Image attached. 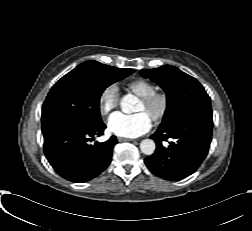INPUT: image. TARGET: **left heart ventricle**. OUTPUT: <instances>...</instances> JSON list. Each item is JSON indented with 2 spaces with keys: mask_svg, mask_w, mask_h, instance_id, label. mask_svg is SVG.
<instances>
[{
  "mask_svg": "<svg viewBox=\"0 0 252 231\" xmlns=\"http://www.w3.org/2000/svg\"><path fill=\"white\" fill-rule=\"evenodd\" d=\"M136 112H145L149 117H151V112L146 109L145 105L140 101Z\"/></svg>",
  "mask_w": 252,
  "mask_h": 231,
  "instance_id": "obj_1",
  "label": "left heart ventricle"
}]
</instances>
